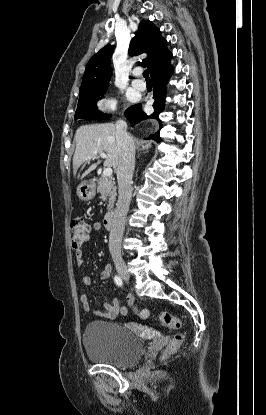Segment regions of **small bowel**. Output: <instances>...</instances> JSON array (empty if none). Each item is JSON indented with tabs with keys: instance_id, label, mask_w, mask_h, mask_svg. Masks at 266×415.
<instances>
[{
	"instance_id": "small-bowel-1",
	"label": "small bowel",
	"mask_w": 266,
	"mask_h": 415,
	"mask_svg": "<svg viewBox=\"0 0 266 415\" xmlns=\"http://www.w3.org/2000/svg\"><path fill=\"white\" fill-rule=\"evenodd\" d=\"M94 230H100L101 224L96 222L93 224ZM75 258H76V264L78 266H82L84 264V254L81 249H76L75 252ZM111 273V266L109 264L105 265L104 269L100 272V278L101 279H107L110 276ZM82 283L84 285H90L91 284V277L89 275H84L82 277ZM80 301L82 304V307L85 312L91 313L97 317L105 318V319H115L120 313L125 314L126 308L120 306V299L115 298L111 303H105L104 304V310H91L89 297L87 294H82L80 297ZM133 302V298L131 295L127 296V303L131 304Z\"/></svg>"
}]
</instances>
